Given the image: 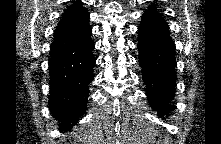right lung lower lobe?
Returning a JSON list of instances; mask_svg holds the SVG:
<instances>
[{
  "mask_svg": "<svg viewBox=\"0 0 221 144\" xmlns=\"http://www.w3.org/2000/svg\"><path fill=\"white\" fill-rule=\"evenodd\" d=\"M89 24L55 39L49 60V109L67 131L86 112L89 84L94 79V43Z\"/></svg>",
  "mask_w": 221,
  "mask_h": 144,
  "instance_id": "obj_1",
  "label": "right lung lower lobe"
}]
</instances>
